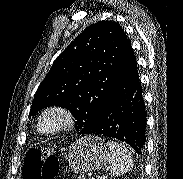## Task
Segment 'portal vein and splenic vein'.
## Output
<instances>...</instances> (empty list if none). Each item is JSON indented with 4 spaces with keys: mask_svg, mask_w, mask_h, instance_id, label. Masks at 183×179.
I'll use <instances>...</instances> for the list:
<instances>
[{
    "mask_svg": "<svg viewBox=\"0 0 183 179\" xmlns=\"http://www.w3.org/2000/svg\"><path fill=\"white\" fill-rule=\"evenodd\" d=\"M90 179H95L94 177H91Z\"/></svg>",
    "mask_w": 183,
    "mask_h": 179,
    "instance_id": "portal-vein-and-splenic-vein-1",
    "label": "portal vein and splenic vein"
}]
</instances>
